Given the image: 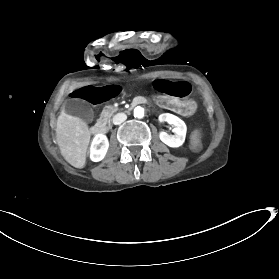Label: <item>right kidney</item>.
<instances>
[{"label": "right kidney", "mask_w": 279, "mask_h": 279, "mask_svg": "<svg viewBox=\"0 0 279 279\" xmlns=\"http://www.w3.org/2000/svg\"><path fill=\"white\" fill-rule=\"evenodd\" d=\"M103 143V146L100 144ZM109 148V142L106 135L99 133L96 134L92 140L89 158L92 162H100L106 156Z\"/></svg>", "instance_id": "1"}]
</instances>
